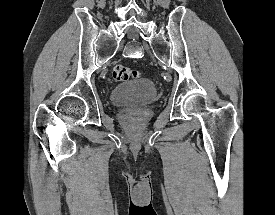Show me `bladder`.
<instances>
[{
    "mask_svg": "<svg viewBox=\"0 0 275 215\" xmlns=\"http://www.w3.org/2000/svg\"><path fill=\"white\" fill-rule=\"evenodd\" d=\"M109 99L118 107H142L155 101L156 88L151 80L139 78L113 87Z\"/></svg>",
    "mask_w": 275,
    "mask_h": 215,
    "instance_id": "obj_1",
    "label": "bladder"
}]
</instances>
